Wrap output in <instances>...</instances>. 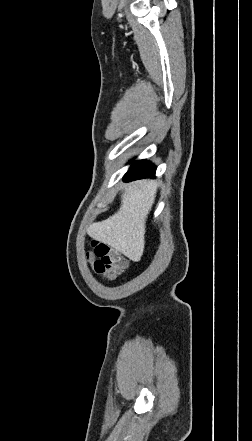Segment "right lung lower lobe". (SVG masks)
<instances>
[{"label":"right lung lower lobe","instance_id":"right-lung-lower-lobe-1","mask_svg":"<svg viewBox=\"0 0 252 441\" xmlns=\"http://www.w3.org/2000/svg\"><path fill=\"white\" fill-rule=\"evenodd\" d=\"M156 167L145 160L135 162L124 176L125 181L153 177Z\"/></svg>","mask_w":252,"mask_h":441}]
</instances>
